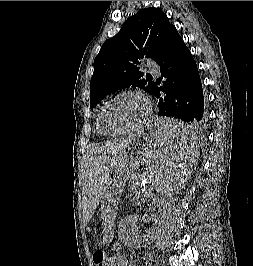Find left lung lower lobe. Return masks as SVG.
I'll use <instances>...</instances> for the list:
<instances>
[{"label": "left lung lower lobe", "instance_id": "0a47b994", "mask_svg": "<svg viewBox=\"0 0 253 266\" xmlns=\"http://www.w3.org/2000/svg\"><path fill=\"white\" fill-rule=\"evenodd\" d=\"M157 63L163 79V85L157 82L152 90L159 98L158 116L178 119L172 126L157 130L169 140L192 141L206 124L204 96L196 62L176 28Z\"/></svg>", "mask_w": 253, "mask_h": 266}]
</instances>
